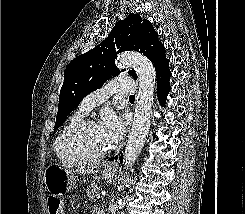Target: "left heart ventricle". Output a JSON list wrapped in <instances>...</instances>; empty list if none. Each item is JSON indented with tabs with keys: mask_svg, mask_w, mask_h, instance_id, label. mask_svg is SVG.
Here are the masks:
<instances>
[{
	"mask_svg": "<svg viewBox=\"0 0 245 214\" xmlns=\"http://www.w3.org/2000/svg\"><path fill=\"white\" fill-rule=\"evenodd\" d=\"M77 144L81 152L89 156H96L108 150L98 126L84 129L78 137Z\"/></svg>",
	"mask_w": 245,
	"mask_h": 214,
	"instance_id": "left-heart-ventricle-1",
	"label": "left heart ventricle"
}]
</instances>
